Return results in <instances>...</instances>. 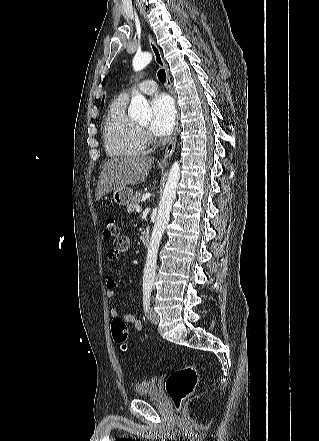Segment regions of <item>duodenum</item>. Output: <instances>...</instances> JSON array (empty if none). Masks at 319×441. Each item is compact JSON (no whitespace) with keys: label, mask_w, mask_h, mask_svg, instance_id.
<instances>
[{"label":"duodenum","mask_w":319,"mask_h":441,"mask_svg":"<svg viewBox=\"0 0 319 441\" xmlns=\"http://www.w3.org/2000/svg\"><path fill=\"white\" fill-rule=\"evenodd\" d=\"M141 241L143 243L144 246H148L149 242H150V230L149 229H144L141 235Z\"/></svg>","instance_id":"1"}]
</instances>
